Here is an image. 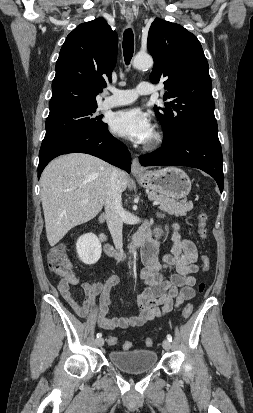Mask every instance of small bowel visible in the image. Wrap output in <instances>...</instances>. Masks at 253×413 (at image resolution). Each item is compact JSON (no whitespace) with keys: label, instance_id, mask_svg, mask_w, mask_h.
I'll list each match as a JSON object with an SVG mask.
<instances>
[{"label":"small bowel","instance_id":"1","mask_svg":"<svg viewBox=\"0 0 253 413\" xmlns=\"http://www.w3.org/2000/svg\"><path fill=\"white\" fill-rule=\"evenodd\" d=\"M162 230H155V238L143 246L141 259L143 268L141 280L143 289L138 294V311L129 316H110V290L119 279L116 275L109 276L104 282H83L73 274L59 281L58 290L63 299L80 317H88L97 312L96 318L100 328L113 330L116 328L139 327L145 323L170 312L174 307L194 298L193 276L199 270L197 265L198 252L195 244L188 239H182L179 226L173 225V246L169 253L161 258L158 256L159 242ZM168 272V277L165 273ZM71 285H80L84 299L79 302L71 291ZM101 294L100 304H96V296Z\"/></svg>","mask_w":253,"mask_h":413}]
</instances>
